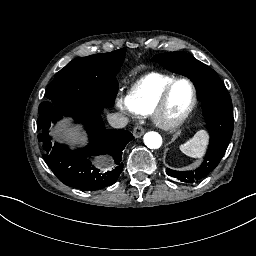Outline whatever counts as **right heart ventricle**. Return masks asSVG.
Segmentation results:
<instances>
[{
	"mask_svg": "<svg viewBox=\"0 0 256 256\" xmlns=\"http://www.w3.org/2000/svg\"><path fill=\"white\" fill-rule=\"evenodd\" d=\"M175 79L176 77L171 74L152 73L135 86L132 97L153 102Z\"/></svg>",
	"mask_w": 256,
	"mask_h": 256,
	"instance_id": "obj_1",
	"label": "right heart ventricle"
}]
</instances>
